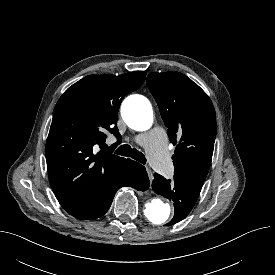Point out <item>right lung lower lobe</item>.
Wrapping results in <instances>:
<instances>
[{
  "mask_svg": "<svg viewBox=\"0 0 275 275\" xmlns=\"http://www.w3.org/2000/svg\"><path fill=\"white\" fill-rule=\"evenodd\" d=\"M122 186H131L141 191L148 189L149 179L145 167L129 160L108 195L91 212L79 219L92 220L104 215L108 211L116 191Z\"/></svg>",
  "mask_w": 275,
  "mask_h": 275,
  "instance_id": "obj_1",
  "label": "right lung lower lobe"
}]
</instances>
